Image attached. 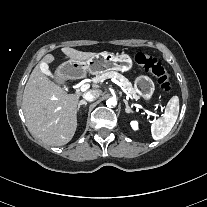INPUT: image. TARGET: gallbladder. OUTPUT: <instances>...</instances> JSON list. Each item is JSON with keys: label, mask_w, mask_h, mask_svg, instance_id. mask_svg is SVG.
Wrapping results in <instances>:
<instances>
[{"label": "gallbladder", "mask_w": 207, "mask_h": 207, "mask_svg": "<svg viewBox=\"0 0 207 207\" xmlns=\"http://www.w3.org/2000/svg\"><path fill=\"white\" fill-rule=\"evenodd\" d=\"M65 69L67 72H71L70 66L65 67ZM55 81L59 83V81L57 79H55Z\"/></svg>", "instance_id": "bac80fb5"}]
</instances>
